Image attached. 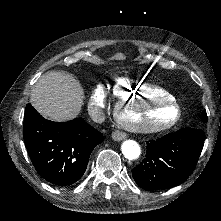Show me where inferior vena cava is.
I'll return each mask as SVG.
<instances>
[{"label":"inferior vena cava","instance_id":"602c4592","mask_svg":"<svg viewBox=\"0 0 221 221\" xmlns=\"http://www.w3.org/2000/svg\"><path fill=\"white\" fill-rule=\"evenodd\" d=\"M98 122L99 123H102L104 120H105V113H104V110L102 109H99L98 111Z\"/></svg>","mask_w":221,"mask_h":221}]
</instances>
